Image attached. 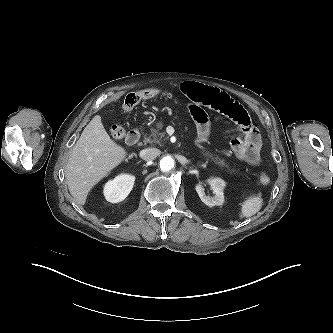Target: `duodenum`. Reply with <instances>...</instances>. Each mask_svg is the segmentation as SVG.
Listing matches in <instances>:
<instances>
[{
  "label": "duodenum",
  "instance_id": "duodenum-1",
  "mask_svg": "<svg viewBox=\"0 0 333 333\" xmlns=\"http://www.w3.org/2000/svg\"><path fill=\"white\" fill-rule=\"evenodd\" d=\"M140 137H141V134H140L139 129L135 128V129L130 130L127 133L125 141L128 145L132 146L139 142Z\"/></svg>",
  "mask_w": 333,
  "mask_h": 333
}]
</instances>
